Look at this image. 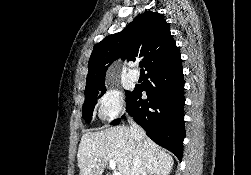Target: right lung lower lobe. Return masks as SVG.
<instances>
[{
  "label": "right lung lower lobe",
  "instance_id": "98d812e1",
  "mask_svg": "<svg viewBox=\"0 0 251 175\" xmlns=\"http://www.w3.org/2000/svg\"><path fill=\"white\" fill-rule=\"evenodd\" d=\"M147 71L150 81L137 85L126 94L127 112L154 142L174 153L181 161L185 137L181 56ZM142 91H146L147 100L141 99ZM119 123L120 119H117L111 124Z\"/></svg>",
  "mask_w": 251,
  "mask_h": 175
}]
</instances>
